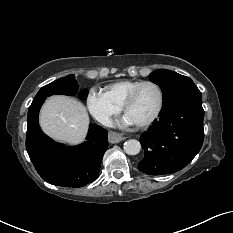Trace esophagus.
Segmentation results:
<instances>
[{
  "label": "esophagus",
  "mask_w": 233,
  "mask_h": 233,
  "mask_svg": "<svg viewBox=\"0 0 233 233\" xmlns=\"http://www.w3.org/2000/svg\"><path fill=\"white\" fill-rule=\"evenodd\" d=\"M124 139L123 134L117 133L115 131H109L108 132V141L109 143L115 144Z\"/></svg>",
  "instance_id": "1"
}]
</instances>
